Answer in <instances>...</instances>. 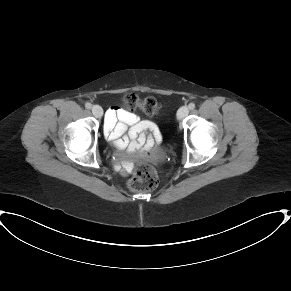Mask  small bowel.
Returning <instances> with one entry per match:
<instances>
[{
	"label": "small bowel",
	"instance_id": "obj_1",
	"mask_svg": "<svg viewBox=\"0 0 291 291\" xmlns=\"http://www.w3.org/2000/svg\"><path fill=\"white\" fill-rule=\"evenodd\" d=\"M135 115L129 113L119 106H112L106 111L105 115V133L110 138H115L123 133L126 125L135 122ZM155 126L151 124L150 130H154ZM147 129L135 126L129 132L132 142L129 145L131 152L138 151L140 153L147 152L155 143L152 136L146 133Z\"/></svg>",
	"mask_w": 291,
	"mask_h": 291
}]
</instances>
